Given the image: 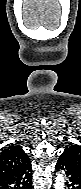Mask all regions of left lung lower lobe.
Returning a JSON list of instances; mask_svg holds the SVG:
<instances>
[{
	"instance_id": "obj_1",
	"label": "left lung lower lobe",
	"mask_w": 81,
	"mask_h": 189,
	"mask_svg": "<svg viewBox=\"0 0 81 189\" xmlns=\"http://www.w3.org/2000/svg\"><path fill=\"white\" fill-rule=\"evenodd\" d=\"M56 170H63L68 178L67 186L70 189H81V171L76 168L63 153L57 160Z\"/></svg>"
}]
</instances>
